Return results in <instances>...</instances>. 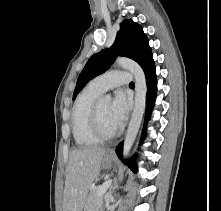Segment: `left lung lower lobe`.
Here are the masks:
<instances>
[{
  "instance_id": "left-lung-lower-lobe-1",
  "label": "left lung lower lobe",
  "mask_w": 221,
  "mask_h": 211,
  "mask_svg": "<svg viewBox=\"0 0 221 211\" xmlns=\"http://www.w3.org/2000/svg\"><path fill=\"white\" fill-rule=\"evenodd\" d=\"M143 70L145 73L146 81H147V94H146V100H147V106H146V115H145V124L149 119L150 113L153 109L155 98H156V92H157V80H156V71H155V65L153 61V57L147 60V62L143 65ZM145 134V131L143 132L142 138ZM122 149L123 145L120 143L116 148V153L120 159H122ZM125 164H127L134 172L137 171V165L134 163L133 159L129 161H124Z\"/></svg>"
}]
</instances>
